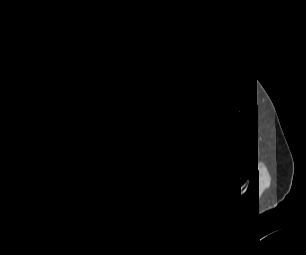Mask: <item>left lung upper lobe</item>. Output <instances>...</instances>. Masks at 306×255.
Masks as SVG:
<instances>
[{
	"label": "left lung upper lobe",
	"instance_id": "obj_1",
	"mask_svg": "<svg viewBox=\"0 0 306 255\" xmlns=\"http://www.w3.org/2000/svg\"><path fill=\"white\" fill-rule=\"evenodd\" d=\"M198 106L194 119L185 135L187 163L192 170L207 169L222 178L229 144L233 137V124L228 109L214 81L195 74Z\"/></svg>",
	"mask_w": 306,
	"mask_h": 255
}]
</instances>
